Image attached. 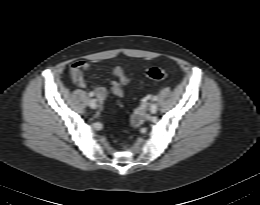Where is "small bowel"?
I'll return each instance as SVG.
<instances>
[{"label":"small bowel","mask_w":260,"mask_h":205,"mask_svg":"<svg viewBox=\"0 0 260 205\" xmlns=\"http://www.w3.org/2000/svg\"><path fill=\"white\" fill-rule=\"evenodd\" d=\"M91 67V63L86 60H79L74 62L70 67V79L77 87L86 88V81L84 73ZM114 80L111 82L113 94L116 97H122L124 95L123 86L129 83V77L126 75L121 67H115L112 69ZM91 92L100 101H104L107 96V90L102 86L95 87Z\"/></svg>","instance_id":"small-bowel-1"}]
</instances>
